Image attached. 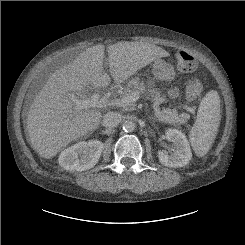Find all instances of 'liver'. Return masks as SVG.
Listing matches in <instances>:
<instances>
[{"label":"liver","mask_w":245,"mask_h":245,"mask_svg":"<svg viewBox=\"0 0 245 245\" xmlns=\"http://www.w3.org/2000/svg\"><path fill=\"white\" fill-rule=\"evenodd\" d=\"M105 46L87 48L72 62L56 70L36 95L27 116L32 148L52 158L72 141L95 131L102 115L94 109L75 111L70 93L80 94L89 86L105 88L110 76L103 70ZM110 75L122 83L138 70L170 54L144 42L121 41L107 47Z\"/></svg>","instance_id":"liver-1"}]
</instances>
